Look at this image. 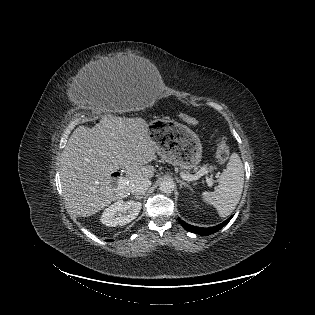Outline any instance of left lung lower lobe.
Instances as JSON below:
<instances>
[{"mask_svg": "<svg viewBox=\"0 0 315 315\" xmlns=\"http://www.w3.org/2000/svg\"><path fill=\"white\" fill-rule=\"evenodd\" d=\"M232 217L233 216H231L230 218H228L226 221L222 222L221 224L214 226V227H210V228L196 227V226H192V225L185 223L180 218H178V220L181 223V225L186 230H188L189 232L199 234V235H210V234L215 233L216 231L220 230L222 227H224L231 220Z\"/></svg>", "mask_w": 315, "mask_h": 315, "instance_id": "0a47b994", "label": "left lung lower lobe"}]
</instances>
